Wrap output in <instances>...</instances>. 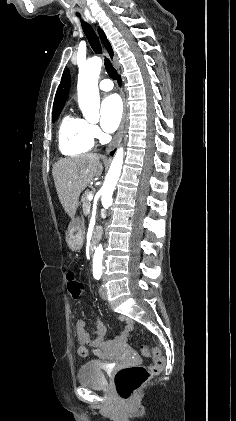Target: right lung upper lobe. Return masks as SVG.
<instances>
[{
	"mask_svg": "<svg viewBox=\"0 0 236 421\" xmlns=\"http://www.w3.org/2000/svg\"><path fill=\"white\" fill-rule=\"evenodd\" d=\"M98 33L101 38L102 43L104 44L105 48L108 50L110 56H113V51L111 44L106 38L105 33L101 28H98ZM70 74L69 70L66 69L62 75L61 83L57 89L54 104H53V111L58 109H63V106L65 104V101L67 99V95L70 89Z\"/></svg>",
	"mask_w": 236,
	"mask_h": 421,
	"instance_id": "right-lung-upper-lobe-1",
	"label": "right lung upper lobe"
}]
</instances>
